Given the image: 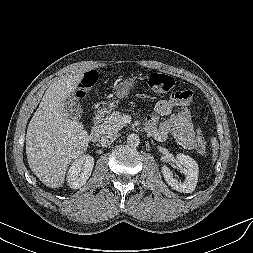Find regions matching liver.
<instances>
[{
	"label": "liver",
	"mask_w": 253,
	"mask_h": 253,
	"mask_svg": "<svg viewBox=\"0 0 253 253\" xmlns=\"http://www.w3.org/2000/svg\"><path fill=\"white\" fill-rule=\"evenodd\" d=\"M85 71L80 68L51 84L27 128L29 167L51 188L63 185L69 164L88 148V132L81 122L68 116L63 103L74 95Z\"/></svg>",
	"instance_id": "liver-1"
}]
</instances>
